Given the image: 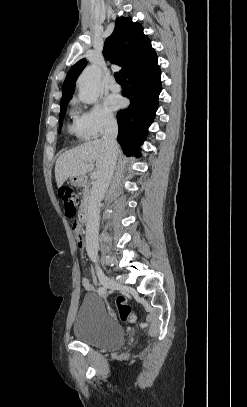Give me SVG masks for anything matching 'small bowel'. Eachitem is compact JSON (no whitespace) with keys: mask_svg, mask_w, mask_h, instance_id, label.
<instances>
[{"mask_svg":"<svg viewBox=\"0 0 247 407\" xmlns=\"http://www.w3.org/2000/svg\"><path fill=\"white\" fill-rule=\"evenodd\" d=\"M75 234H76L77 246L79 249L83 250L85 247V243L83 240V235H82V231H81L80 227L77 226ZM82 285L88 291L94 290V287L90 284L87 277L82 278Z\"/></svg>","mask_w":247,"mask_h":407,"instance_id":"small-bowel-1","label":"small bowel"}]
</instances>
